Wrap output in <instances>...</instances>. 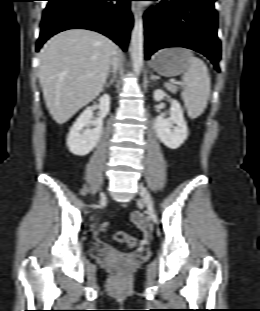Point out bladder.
Instances as JSON below:
<instances>
[{
	"label": "bladder",
	"instance_id": "31cf9c89",
	"mask_svg": "<svg viewBox=\"0 0 260 311\" xmlns=\"http://www.w3.org/2000/svg\"><path fill=\"white\" fill-rule=\"evenodd\" d=\"M94 250L98 253H102V254L106 253V249L103 247H94Z\"/></svg>",
	"mask_w": 260,
	"mask_h": 311
}]
</instances>
